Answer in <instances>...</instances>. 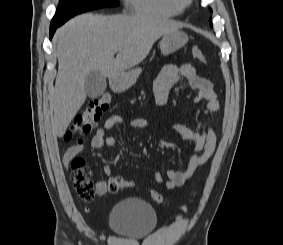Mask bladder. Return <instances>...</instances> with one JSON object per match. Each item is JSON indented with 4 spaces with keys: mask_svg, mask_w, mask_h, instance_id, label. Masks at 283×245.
Segmentation results:
<instances>
[{
    "mask_svg": "<svg viewBox=\"0 0 283 245\" xmlns=\"http://www.w3.org/2000/svg\"><path fill=\"white\" fill-rule=\"evenodd\" d=\"M109 223L115 234L140 239L156 228L158 217L154 208L147 202L129 198L114 205Z\"/></svg>",
    "mask_w": 283,
    "mask_h": 245,
    "instance_id": "1",
    "label": "bladder"
}]
</instances>
